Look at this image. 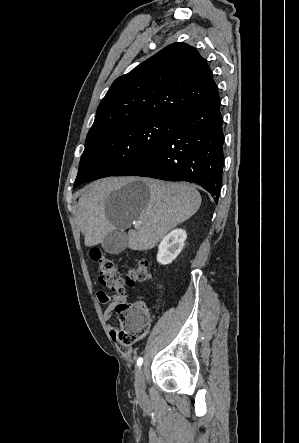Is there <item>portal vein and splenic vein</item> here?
<instances>
[{"label":"portal vein and splenic vein","mask_w":299,"mask_h":443,"mask_svg":"<svg viewBox=\"0 0 299 443\" xmlns=\"http://www.w3.org/2000/svg\"><path fill=\"white\" fill-rule=\"evenodd\" d=\"M132 224L134 225L135 228H139L141 222L140 221H134Z\"/></svg>","instance_id":"portal-vein-and-splenic-vein-1"}]
</instances>
